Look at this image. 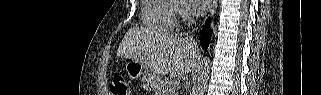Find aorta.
<instances>
[{
    "label": "aorta",
    "instance_id": "obj_1",
    "mask_svg": "<svg viewBox=\"0 0 321 95\" xmlns=\"http://www.w3.org/2000/svg\"><path fill=\"white\" fill-rule=\"evenodd\" d=\"M209 58H205L198 70L191 95H204L209 80Z\"/></svg>",
    "mask_w": 321,
    "mask_h": 95
}]
</instances>
